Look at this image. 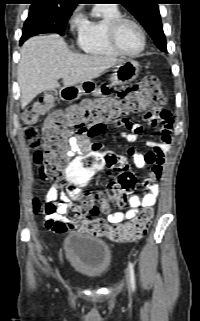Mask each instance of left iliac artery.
Masks as SVG:
<instances>
[{
	"mask_svg": "<svg viewBox=\"0 0 200 321\" xmlns=\"http://www.w3.org/2000/svg\"><path fill=\"white\" fill-rule=\"evenodd\" d=\"M128 268H129L131 288H132V291H135V288H136V285H135V274H134V267H133V264L131 262H129Z\"/></svg>",
	"mask_w": 200,
	"mask_h": 321,
	"instance_id": "44dca946",
	"label": "left iliac artery"
}]
</instances>
